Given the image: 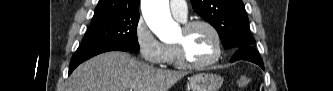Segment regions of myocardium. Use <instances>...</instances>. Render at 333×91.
Instances as JSON below:
<instances>
[{
  "mask_svg": "<svg viewBox=\"0 0 333 91\" xmlns=\"http://www.w3.org/2000/svg\"><path fill=\"white\" fill-rule=\"evenodd\" d=\"M200 26L207 28L213 35V37L215 39V43H216L215 54L211 59H209L207 61L199 62V63L192 62L188 59L184 46L180 43H176L173 46L174 50H175L176 63L181 67L188 68V69H204V68L214 65L222 57V54H223L222 38H221L219 31L212 23H210L206 20L196 19V20H191V21L184 23L182 29L184 32H190L192 29H194L196 27H200Z\"/></svg>",
  "mask_w": 333,
  "mask_h": 91,
  "instance_id": "f54148a6",
  "label": "myocardium"
}]
</instances>
